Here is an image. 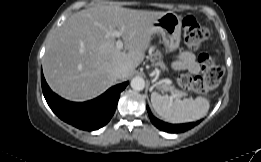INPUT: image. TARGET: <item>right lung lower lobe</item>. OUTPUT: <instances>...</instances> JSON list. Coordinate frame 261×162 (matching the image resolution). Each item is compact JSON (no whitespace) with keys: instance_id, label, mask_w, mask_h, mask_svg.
I'll return each mask as SVG.
<instances>
[{"instance_id":"right-lung-lower-lobe-1","label":"right lung lower lobe","mask_w":261,"mask_h":162,"mask_svg":"<svg viewBox=\"0 0 261 162\" xmlns=\"http://www.w3.org/2000/svg\"><path fill=\"white\" fill-rule=\"evenodd\" d=\"M41 84L49 107L61 120L76 128L93 131L110 121L116 110L120 93L128 82L113 86L98 98L83 103L67 101L52 92L43 73H41Z\"/></svg>"}]
</instances>
